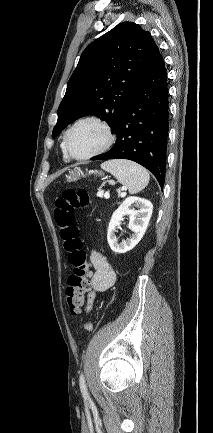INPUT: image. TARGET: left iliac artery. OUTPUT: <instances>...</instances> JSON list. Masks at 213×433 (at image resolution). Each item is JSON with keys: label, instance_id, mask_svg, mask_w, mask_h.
<instances>
[{"label": "left iliac artery", "instance_id": "left-iliac-artery-1", "mask_svg": "<svg viewBox=\"0 0 213 433\" xmlns=\"http://www.w3.org/2000/svg\"><path fill=\"white\" fill-rule=\"evenodd\" d=\"M79 385H80V390L82 392L84 399H88L89 394H88V390L86 387L85 378H84V375L82 373L80 374V377H79Z\"/></svg>", "mask_w": 213, "mask_h": 433}]
</instances>
